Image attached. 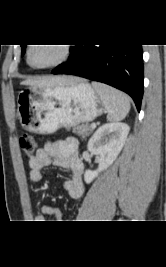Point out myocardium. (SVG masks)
<instances>
[{
	"instance_id": "1",
	"label": "myocardium",
	"mask_w": 166,
	"mask_h": 267,
	"mask_svg": "<svg viewBox=\"0 0 166 267\" xmlns=\"http://www.w3.org/2000/svg\"><path fill=\"white\" fill-rule=\"evenodd\" d=\"M35 45H37V44H30L29 46H27L26 52H25V61H26L27 65L34 70H47V69L55 68V67L63 64L64 62H66L68 60V58L70 57V54H71V47L69 45L58 44L61 47V51H62L61 56L56 61H54L52 63L46 64V65L36 66L30 62V52Z\"/></svg>"
}]
</instances>
